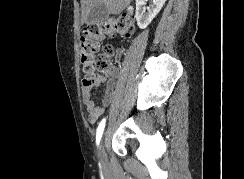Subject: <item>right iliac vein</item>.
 I'll use <instances>...</instances> for the list:
<instances>
[{"label":"right iliac vein","instance_id":"right-iliac-vein-1","mask_svg":"<svg viewBox=\"0 0 244 179\" xmlns=\"http://www.w3.org/2000/svg\"><path fill=\"white\" fill-rule=\"evenodd\" d=\"M104 142H105V139L103 138L102 139V142H101V146H100V149H99V159L101 161H105L106 159V155H105V152H104Z\"/></svg>","mask_w":244,"mask_h":179}]
</instances>
